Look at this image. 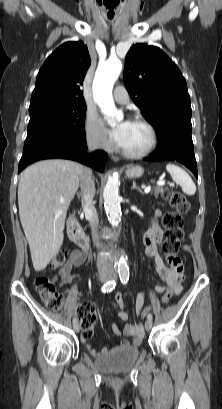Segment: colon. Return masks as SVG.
<instances>
[{"label": "colon", "instance_id": "1", "mask_svg": "<svg viewBox=\"0 0 222 409\" xmlns=\"http://www.w3.org/2000/svg\"><path fill=\"white\" fill-rule=\"evenodd\" d=\"M162 195L173 209L166 212L163 216L165 234L162 248L168 259L169 256H177L180 249L181 241L184 237L183 216L189 210V202L183 193L170 188H166ZM66 263L67 252L62 249L55 254L51 267L53 269H61ZM34 285L48 308L58 310L62 307L63 297L48 277L38 276L34 280ZM172 296L173 292L167 291L162 297V302L166 303ZM151 310V306H146L141 316L146 318ZM77 315L81 321V335L84 339H89L94 332L96 313L89 304H82L77 309Z\"/></svg>", "mask_w": 222, "mask_h": 409}]
</instances>
